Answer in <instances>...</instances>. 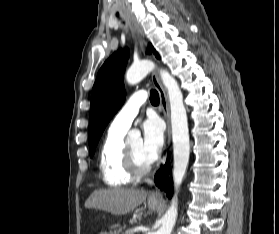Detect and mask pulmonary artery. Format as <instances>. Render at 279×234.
Here are the masks:
<instances>
[{
	"label": "pulmonary artery",
	"instance_id": "obj_1",
	"mask_svg": "<svg viewBox=\"0 0 279 234\" xmlns=\"http://www.w3.org/2000/svg\"><path fill=\"white\" fill-rule=\"evenodd\" d=\"M147 100V94L138 91L132 94L110 124V130L126 132L138 114L140 106Z\"/></svg>",
	"mask_w": 279,
	"mask_h": 234
}]
</instances>
